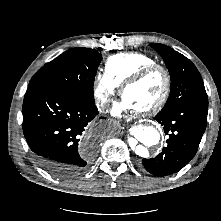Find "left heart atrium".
<instances>
[{
  "label": "left heart atrium",
  "mask_w": 221,
  "mask_h": 221,
  "mask_svg": "<svg viewBox=\"0 0 221 221\" xmlns=\"http://www.w3.org/2000/svg\"><path fill=\"white\" fill-rule=\"evenodd\" d=\"M135 107L126 99L125 97L112 108V113L114 115L120 116L123 113L135 111Z\"/></svg>",
  "instance_id": "left-heart-atrium-1"
}]
</instances>
